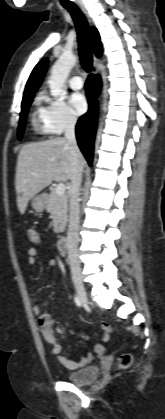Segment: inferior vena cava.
Listing matches in <instances>:
<instances>
[{
	"label": "inferior vena cava",
	"instance_id": "1",
	"mask_svg": "<svg viewBox=\"0 0 165 419\" xmlns=\"http://www.w3.org/2000/svg\"><path fill=\"white\" fill-rule=\"evenodd\" d=\"M76 118L69 116L66 121L65 127V139L67 140L69 149L71 151L72 160V175L69 188V226L67 236V250H68V261L71 268L73 277H80V264L78 254V241H79V191L82 182L83 165L80 162L82 154L78 148L76 137H75V125Z\"/></svg>",
	"mask_w": 165,
	"mask_h": 419
}]
</instances>
